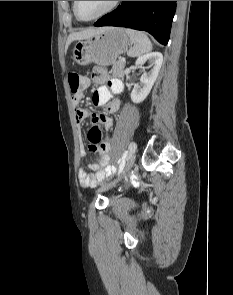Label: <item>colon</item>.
I'll list each match as a JSON object with an SVG mask.
<instances>
[{
  "label": "colon",
  "instance_id": "5ec220e1",
  "mask_svg": "<svg viewBox=\"0 0 233 295\" xmlns=\"http://www.w3.org/2000/svg\"><path fill=\"white\" fill-rule=\"evenodd\" d=\"M69 86L73 94L81 93L90 86V80L78 73L72 72L68 76ZM89 151L98 154L101 152L102 134L97 126H93L88 132Z\"/></svg>",
  "mask_w": 233,
  "mask_h": 295
}]
</instances>
